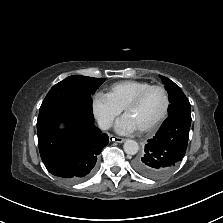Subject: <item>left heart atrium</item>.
Segmentation results:
<instances>
[{"label":"left heart atrium","instance_id":"obj_1","mask_svg":"<svg viewBox=\"0 0 223 223\" xmlns=\"http://www.w3.org/2000/svg\"><path fill=\"white\" fill-rule=\"evenodd\" d=\"M115 129L120 134H130L138 130L135 124L126 115L117 121Z\"/></svg>","mask_w":223,"mask_h":223}]
</instances>
